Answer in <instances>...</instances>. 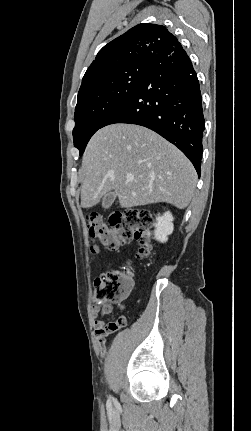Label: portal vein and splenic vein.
Returning a JSON list of instances; mask_svg holds the SVG:
<instances>
[{
    "mask_svg": "<svg viewBox=\"0 0 251 431\" xmlns=\"http://www.w3.org/2000/svg\"><path fill=\"white\" fill-rule=\"evenodd\" d=\"M127 180H128V181H133V180H134V177H133V176H128V177H127Z\"/></svg>",
    "mask_w": 251,
    "mask_h": 431,
    "instance_id": "obj_1",
    "label": "portal vein and splenic vein"
}]
</instances>
